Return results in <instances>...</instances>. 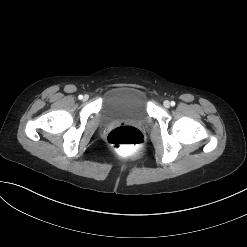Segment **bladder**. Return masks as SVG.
<instances>
[{"label":"bladder","mask_w":247,"mask_h":247,"mask_svg":"<svg viewBox=\"0 0 247 247\" xmlns=\"http://www.w3.org/2000/svg\"><path fill=\"white\" fill-rule=\"evenodd\" d=\"M148 119L147 95L142 89L132 86L109 89L102 99L98 112L101 125L121 120L145 123Z\"/></svg>","instance_id":"obj_1"}]
</instances>
